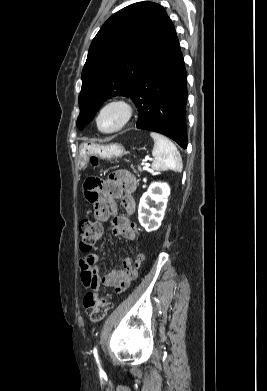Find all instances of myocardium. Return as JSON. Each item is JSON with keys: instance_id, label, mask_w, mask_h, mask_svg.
Returning <instances> with one entry per match:
<instances>
[{"instance_id": "f54148a6", "label": "myocardium", "mask_w": 267, "mask_h": 391, "mask_svg": "<svg viewBox=\"0 0 267 391\" xmlns=\"http://www.w3.org/2000/svg\"><path fill=\"white\" fill-rule=\"evenodd\" d=\"M112 106H117L122 109L123 114H124L123 120L117 128H115L113 130L105 131L100 127V117H101V114L103 113L104 110H106L107 108L112 107ZM133 113H134L133 105L131 104V102L128 99L123 98V97L112 98V99L106 101L99 108L97 115L95 117L96 126L101 133H104V134L116 133V132L122 130L123 128H125L130 123V121L133 117Z\"/></svg>"}]
</instances>
